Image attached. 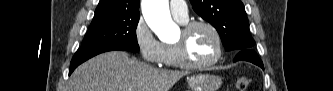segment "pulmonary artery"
Returning <instances> with one entry per match:
<instances>
[{"label":"pulmonary artery","instance_id":"1","mask_svg":"<svg viewBox=\"0 0 333 91\" xmlns=\"http://www.w3.org/2000/svg\"><path fill=\"white\" fill-rule=\"evenodd\" d=\"M170 11L174 18L179 21H187L188 9L185 1H171Z\"/></svg>","mask_w":333,"mask_h":91}]
</instances>
